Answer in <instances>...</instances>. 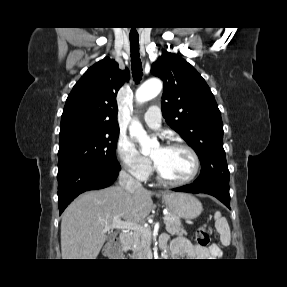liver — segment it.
<instances>
[{
  "instance_id": "6515ba94",
  "label": "liver",
  "mask_w": 287,
  "mask_h": 287,
  "mask_svg": "<svg viewBox=\"0 0 287 287\" xmlns=\"http://www.w3.org/2000/svg\"><path fill=\"white\" fill-rule=\"evenodd\" d=\"M153 193L146 189L128 192L111 186L76 198L61 221L62 259H96L107 239L105 226L115 217L142 223L153 207Z\"/></svg>"
}]
</instances>
